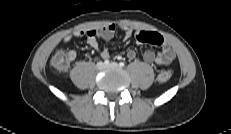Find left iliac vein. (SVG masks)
<instances>
[{
	"label": "left iliac vein",
	"instance_id": "obj_1",
	"mask_svg": "<svg viewBox=\"0 0 231 134\" xmlns=\"http://www.w3.org/2000/svg\"><path fill=\"white\" fill-rule=\"evenodd\" d=\"M119 65L116 63V62H112V63H110L107 67H114V68H116V67H118Z\"/></svg>",
	"mask_w": 231,
	"mask_h": 134
}]
</instances>
